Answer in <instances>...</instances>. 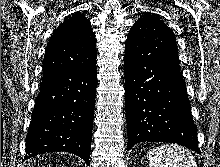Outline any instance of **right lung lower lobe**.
I'll return each mask as SVG.
<instances>
[{"instance_id": "obj_1", "label": "right lung lower lobe", "mask_w": 220, "mask_h": 167, "mask_svg": "<svg viewBox=\"0 0 220 167\" xmlns=\"http://www.w3.org/2000/svg\"><path fill=\"white\" fill-rule=\"evenodd\" d=\"M96 83V64L42 80L26 136L25 159L64 151L89 165Z\"/></svg>"}]
</instances>
